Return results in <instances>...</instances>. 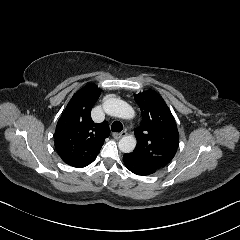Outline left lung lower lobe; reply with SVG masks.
I'll return each mask as SVG.
<instances>
[{"mask_svg":"<svg viewBox=\"0 0 240 240\" xmlns=\"http://www.w3.org/2000/svg\"><path fill=\"white\" fill-rule=\"evenodd\" d=\"M123 161H124V164L127 167V169H129L134 174L145 176V175H150V174L154 173L152 171H148V170L143 169L141 167H133L124 159H123Z\"/></svg>","mask_w":240,"mask_h":240,"instance_id":"obj_1","label":"left lung lower lobe"}]
</instances>
